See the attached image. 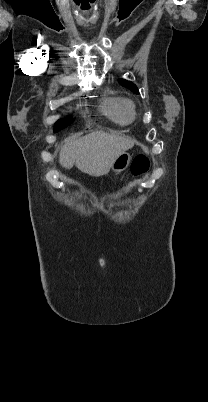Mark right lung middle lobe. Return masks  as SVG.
Segmentation results:
<instances>
[{
  "instance_id": "1",
  "label": "right lung middle lobe",
  "mask_w": 208,
  "mask_h": 402,
  "mask_svg": "<svg viewBox=\"0 0 208 402\" xmlns=\"http://www.w3.org/2000/svg\"><path fill=\"white\" fill-rule=\"evenodd\" d=\"M71 123V119H66V120H59L56 122L55 125V132L65 128L66 126H68Z\"/></svg>"
}]
</instances>
